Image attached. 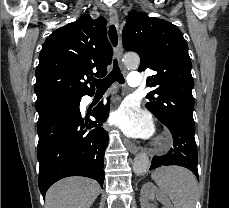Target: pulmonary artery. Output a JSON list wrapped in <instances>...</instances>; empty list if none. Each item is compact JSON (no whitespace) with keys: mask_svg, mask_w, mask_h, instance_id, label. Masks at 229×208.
Listing matches in <instances>:
<instances>
[{"mask_svg":"<svg viewBox=\"0 0 229 208\" xmlns=\"http://www.w3.org/2000/svg\"><path fill=\"white\" fill-rule=\"evenodd\" d=\"M143 76L142 72H132L128 74L126 80L127 83L130 87H137L141 84L142 79L141 77Z\"/></svg>","mask_w":229,"mask_h":208,"instance_id":"1","label":"pulmonary artery"}]
</instances>
